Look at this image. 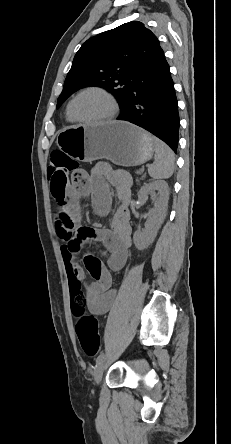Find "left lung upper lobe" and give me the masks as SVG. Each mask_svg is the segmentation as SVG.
I'll list each match as a JSON object with an SVG mask.
<instances>
[{
	"label": "left lung upper lobe",
	"instance_id": "5c2ea615",
	"mask_svg": "<svg viewBox=\"0 0 231 444\" xmlns=\"http://www.w3.org/2000/svg\"><path fill=\"white\" fill-rule=\"evenodd\" d=\"M160 49L157 37L138 21L90 38L74 57L56 107L80 88L97 86L115 93L123 108L134 78Z\"/></svg>",
	"mask_w": 231,
	"mask_h": 444
}]
</instances>
